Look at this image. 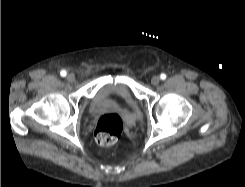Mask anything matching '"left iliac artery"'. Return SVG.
<instances>
[{"mask_svg":"<svg viewBox=\"0 0 245 187\" xmlns=\"http://www.w3.org/2000/svg\"><path fill=\"white\" fill-rule=\"evenodd\" d=\"M160 78H161L162 80H165V79H166V74L162 73V74L160 75Z\"/></svg>","mask_w":245,"mask_h":187,"instance_id":"left-iliac-artery-1","label":"left iliac artery"}]
</instances>
